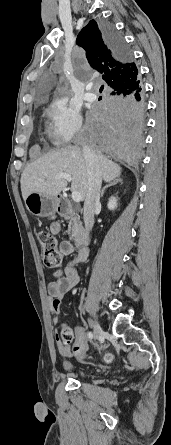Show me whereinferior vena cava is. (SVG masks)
<instances>
[{
	"label": "inferior vena cava",
	"mask_w": 171,
	"mask_h": 445,
	"mask_svg": "<svg viewBox=\"0 0 171 445\" xmlns=\"http://www.w3.org/2000/svg\"><path fill=\"white\" fill-rule=\"evenodd\" d=\"M83 155L89 175L88 192L84 203V223L87 229H92L94 212L100 206L102 175L98 155L87 145L83 146Z\"/></svg>",
	"instance_id": "inferior-vena-cava-1"
}]
</instances>
